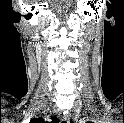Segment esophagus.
<instances>
[{"mask_svg":"<svg viewBox=\"0 0 124 123\" xmlns=\"http://www.w3.org/2000/svg\"><path fill=\"white\" fill-rule=\"evenodd\" d=\"M65 120L67 121V123H75V120L71 114H68L67 116H65Z\"/></svg>","mask_w":124,"mask_h":123,"instance_id":"1","label":"esophagus"}]
</instances>
